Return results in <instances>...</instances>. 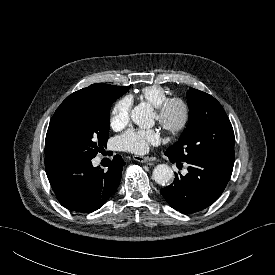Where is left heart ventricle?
<instances>
[{
  "label": "left heart ventricle",
  "instance_id": "left-heart-ventricle-1",
  "mask_svg": "<svg viewBox=\"0 0 275 275\" xmlns=\"http://www.w3.org/2000/svg\"><path fill=\"white\" fill-rule=\"evenodd\" d=\"M177 116H178V113H177V112H175V113H174V115H173L174 119H176V118H177Z\"/></svg>",
  "mask_w": 275,
  "mask_h": 275
}]
</instances>
